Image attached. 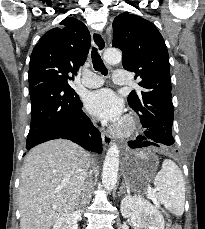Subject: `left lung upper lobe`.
Here are the masks:
<instances>
[{"label": "left lung upper lobe", "instance_id": "1", "mask_svg": "<svg viewBox=\"0 0 205 229\" xmlns=\"http://www.w3.org/2000/svg\"><path fill=\"white\" fill-rule=\"evenodd\" d=\"M112 46L122 51L124 69L135 72L142 87L129 94V106L138 114L145 132L150 127H165L172 138L166 146H171L174 111L169 56L162 35L148 20L122 13L113 21Z\"/></svg>", "mask_w": 205, "mask_h": 229}]
</instances>
